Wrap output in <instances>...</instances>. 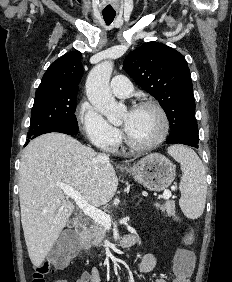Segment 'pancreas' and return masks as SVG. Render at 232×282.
<instances>
[{
    "instance_id": "pancreas-1",
    "label": "pancreas",
    "mask_w": 232,
    "mask_h": 282,
    "mask_svg": "<svg viewBox=\"0 0 232 282\" xmlns=\"http://www.w3.org/2000/svg\"><path fill=\"white\" fill-rule=\"evenodd\" d=\"M157 209H160L162 212H166L168 216L175 214V202L168 200L164 205L156 206ZM107 235V229L104 225L98 222H92L89 229L86 231V238L91 242L92 245L101 247L103 246L102 241Z\"/></svg>"
}]
</instances>
